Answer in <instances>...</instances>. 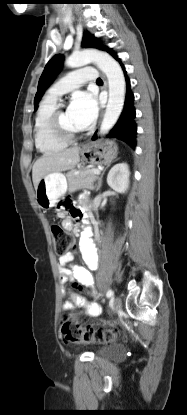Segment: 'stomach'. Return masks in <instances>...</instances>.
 <instances>
[{"mask_svg": "<svg viewBox=\"0 0 187 415\" xmlns=\"http://www.w3.org/2000/svg\"><path fill=\"white\" fill-rule=\"evenodd\" d=\"M118 147L112 140L102 143H92L81 150L84 159L91 164L109 165L117 156ZM67 191V180L61 172H54L44 176L36 188V201L43 210H49Z\"/></svg>", "mask_w": 187, "mask_h": 415, "instance_id": "obj_1", "label": "stomach"}]
</instances>
